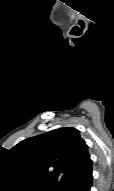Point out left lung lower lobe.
I'll return each mask as SVG.
<instances>
[{
  "mask_svg": "<svg viewBox=\"0 0 114 191\" xmlns=\"http://www.w3.org/2000/svg\"><path fill=\"white\" fill-rule=\"evenodd\" d=\"M92 178V161L90 159L61 191H90Z\"/></svg>",
  "mask_w": 114,
  "mask_h": 191,
  "instance_id": "1",
  "label": "left lung lower lobe"
}]
</instances>
